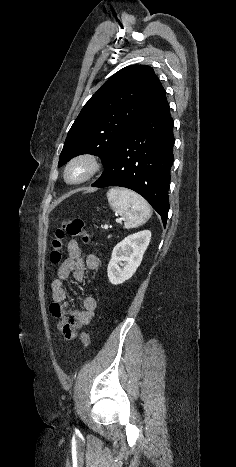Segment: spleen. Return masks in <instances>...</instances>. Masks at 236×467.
Returning <instances> with one entry per match:
<instances>
[{"label": "spleen", "mask_w": 236, "mask_h": 467, "mask_svg": "<svg viewBox=\"0 0 236 467\" xmlns=\"http://www.w3.org/2000/svg\"><path fill=\"white\" fill-rule=\"evenodd\" d=\"M107 199L115 213L124 216V227L127 229L144 224L152 215L147 201L131 190L111 188Z\"/></svg>", "instance_id": "obj_1"}]
</instances>
